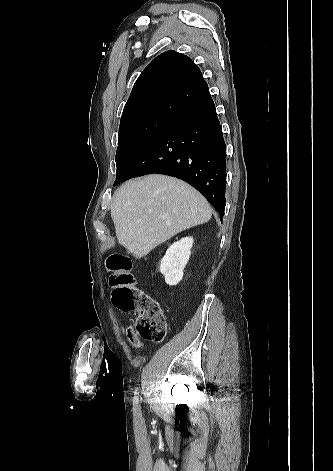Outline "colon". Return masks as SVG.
Instances as JSON below:
<instances>
[{"label": "colon", "mask_w": 333, "mask_h": 471, "mask_svg": "<svg viewBox=\"0 0 333 471\" xmlns=\"http://www.w3.org/2000/svg\"><path fill=\"white\" fill-rule=\"evenodd\" d=\"M106 266L111 274L113 304L122 311L136 312V328L143 338L162 341L167 332L165 316L159 303L137 287L131 259L114 253L107 258Z\"/></svg>", "instance_id": "colon-1"}]
</instances>
